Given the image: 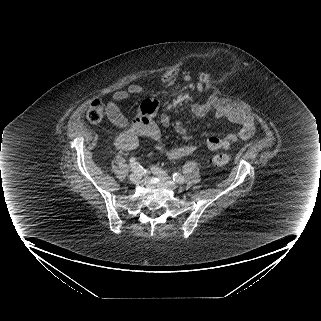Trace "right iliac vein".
Wrapping results in <instances>:
<instances>
[{
	"mask_svg": "<svg viewBox=\"0 0 321 321\" xmlns=\"http://www.w3.org/2000/svg\"><path fill=\"white\" fill-rule=\"evenodd\" d=\"M140 178H141V175L139 174V172H135L130 175V181L133 183L138 182Z\"/></svg>",
	"mask_w": 321,
	"mask_h": 321,
	"instance_id": "obj_1",
	"label": "right iliac vein"
}]
</instances>
